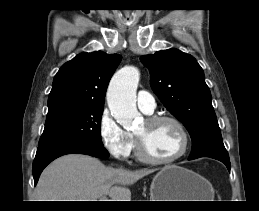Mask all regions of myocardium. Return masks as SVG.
Returning <instances> with one entry per match:
<instances>
[{
  "mask_svg": "<svg viewBox=\"0 0 259 211\" xmlns=\"http://www.w3.org/2000/svg\"><path fill=\"white\" fill-rule=\"evenodd\" d=\"M145 121L151 125H155L161 122H170L174 124L180 133L182 144L180 150L175 155L163 159L155 158L147 152L142 139L137 134H135L137 154L142 161L150 164L163 165L173 163L185 155L189 148L190 140L184 124L178 118L172 115H152L147 117Z\"/></svg>",
  "mask_w": 259,
  "mask_h": 211,
  "instance_id": "1",
  "label": "myocardium"
}]
</instances>
